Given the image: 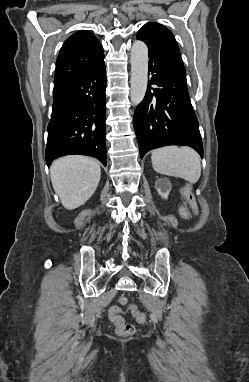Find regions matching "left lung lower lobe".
<instances>
[{
	"label": "left lung lower lobe",
	"instance_id": "left-lung-lower-lobe-1",
	"mask_svg": "<svg viewBox=\"0 0 249 382\" xmlns=\"http://www.w3.org/2000/svg\"><path fill=\"white\" fill-rule=\"evenodd\" d=\"M148 70L151 73L147 92L133 118L141 158L149 150L167 145L190 146L203 157L198 120L186 77L150 55Z\"/></svg>",
	"mask_w": 249,
	"mask_h": 382
}]
</instances>
